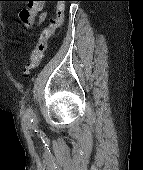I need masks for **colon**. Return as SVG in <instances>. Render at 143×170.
<instances>
[{"label":"colon","instance_id":"1","mask_svg":"<svg viewBox=\"0 0 143 170\" xmlns=\"http://www.w3.org/2000/svg\"><path fill=\"white\" fill-rule=\"evenodd\" d=\"M43 1L45 0H29L28 6L20 12V20L25 24H30L42 8ZM64 10L65 5L63 0H58L55 6V16L50 19L49 25L39 34L37 44L31 55L28 71L36 68L40 64L44 57L49 38L62 27Z\"/></svg>","mask_w":143,"mask_h":170}]
</instances>
